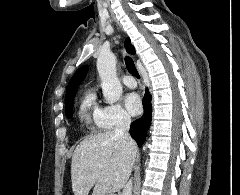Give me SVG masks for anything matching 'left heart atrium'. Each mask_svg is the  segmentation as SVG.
<instances>
[{
    "instance_id": "39dd6f15",
    "label": "left heart atrium",
    "mask_w": 240,
    "mask_h": 195,
    "mask_svg": "<svg viewBox=\"0 0 240 195\" xmlns=\"http://www.w3.org/2000/svg\"><path fill=\"white\" fill-rule=\"evenodd\" d=\"M126 103L129 110L133 114H139L142 110L141 99L137 93H131L126 98Z\"/></svg>"
}]
</instances>
